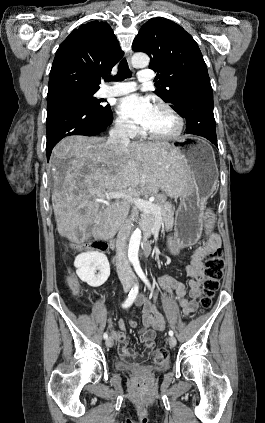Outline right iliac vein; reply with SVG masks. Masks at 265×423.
<instances>
[{"label": "right iliac vein", "mask_w": 265, "mask_h": 423, "mask_svg": "<svg viewBox=\"0 0 265 423\" xmlns=\"http://www.w3.org/2000/svg\"><path fill=\"white\" fill-rule=\"evenodd\" d=\"M123 285V289L125 292H128L130 290V288L132 287V281L131 280H124L122 282ZM107 347H112L114 344V340L112 337H109L106 342H105Z\"/></svg>", "instance_id": "63e3f726"}]
</instances>
